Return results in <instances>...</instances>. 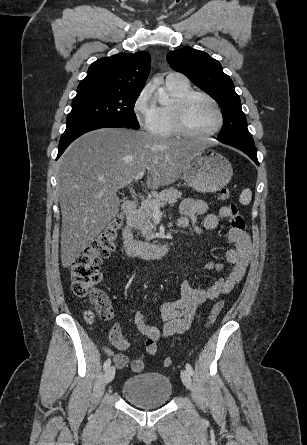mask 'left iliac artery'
<instances>
[{"instance_id":"1","label":"left iliac artery","mask_w":307,"mask_h":445,"mask_svg":"<svg viewBox=\"0 0 307 445\" xmlns=\"http://www.w3.org/2000/svg\"><path fill=\"white\" fill-rule=\"evenodd\" d=\"M186 370L188 371V373H189L191 376H193V374H194V372H193V368H192V366H191L189 363L186 364Z\"/></svg>"}]
</instances>
